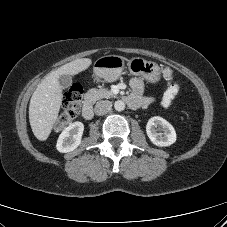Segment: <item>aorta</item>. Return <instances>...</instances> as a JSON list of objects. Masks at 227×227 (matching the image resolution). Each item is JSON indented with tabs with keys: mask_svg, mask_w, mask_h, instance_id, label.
Here are the masks:
<instances>
[{
	"mask_svg": "<svg viewBox=\"0 0 227 227\" xmlns=\"http://www.w3.org/2000/svg\"><path fill=\"white\" fill-rule=\"evenodd\" d=\"M116 111H123L125 109V103L122 100H118L114 103Z\"/></svg>",
	"mask_w": 227,
	"mask_h": 227,
	"instance_id": "aorta-1",
	"label": "aorta"
}]
</instances>
